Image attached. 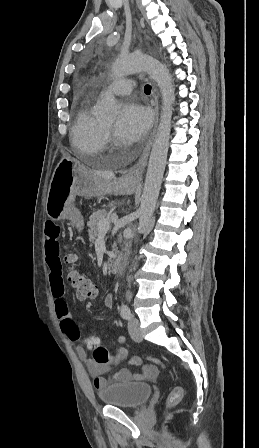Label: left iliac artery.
<instances>
[{"label": "left iliac artery", "instance_id": "obj_1", "mask_svg": "<svg viewBox=\"0 0 259 448\" xmlns=\"http://www.w3.org/2000/svg\"><path fill=\"white\" fill-rule=\"evenodd\" d=\"M120 313H121L122 318H124V319H129L132 316L130 308L124 303H122V305H121Z\"/></svg>", "mask_w": 259, "mask_h": 448}]
</instances>
